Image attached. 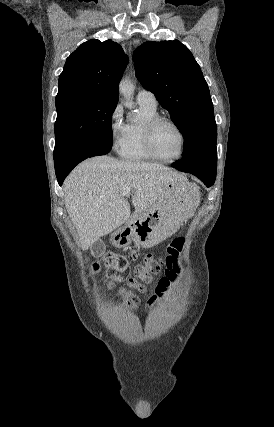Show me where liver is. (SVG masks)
<instances>
[{"mask_svg": "<svg viewBox=\"0 0 274 427\" xmlns=\"http://www.w3.org/2000/svg\"><path fill=\"white\" fill-rule=\"evenodd\" d=\"M161 164L116 160L111 156L88 158L66 178L65 208L80 237V247L88 249L130 217L124 190H130L135 214H144L168 202L172 190L186 184L182 174L169 172ZM173 186V188H169Z\"/></svg>", "mask_w": 274, "mask_h": 427, "instance_id": "obj_1", "label": "liver"}]
</instances>
